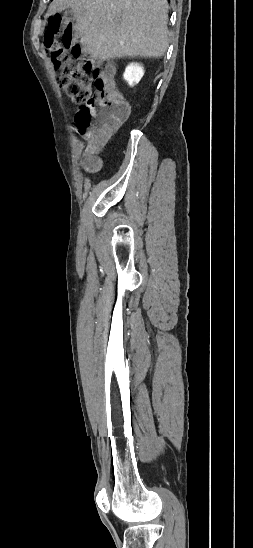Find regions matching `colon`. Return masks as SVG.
I'll list each match as a JSON object with an SVG mask.
<instances>
[{"instance_id": "colon-1", "label": "colon", "mask_w": 253, "mask_h": 548, "mask_svg": "<svg viewBox=\"0 0 253 548\" xmlns=\"http://www.w3.org/2000/svg\"><path fill=\"white\" fill-rule=\"evenodd\" d=\"M49 22L54 30L60 19L53 16ZM45 45L54 67L61 70L59 86L79 105L77 130L90 140L85 163L88 169L96 170L99 161L94 153L100 141L127 118L129 106L116 87L111 66L83 56L80 47L70 45L66 33L63 42L49 38Z\"/></svg>"}]
</instances>
